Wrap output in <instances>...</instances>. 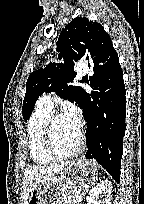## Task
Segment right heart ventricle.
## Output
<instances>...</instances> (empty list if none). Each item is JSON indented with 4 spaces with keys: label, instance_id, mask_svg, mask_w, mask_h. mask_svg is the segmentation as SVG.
Listing matches in <instances>:
<instances>
[{
    "label": "right heart ventricle",
    "instance_id": "right-heart-ventricle-1",
    "mask_svg": "<svg viewBox=\"0 0 144 204\" xmlns=\"http://www.w3.org/2000/svg\"><path fill=\"white\" fill-rule=\"evenodd\" d=\"M51 109L37 104L32 112L27 126V144L30 158L36 164L44 165L54 162L44 147L43 132Z\"/></svg>",
    "mask_w": 144,
    "mask_h": 204
}]
</instances>
